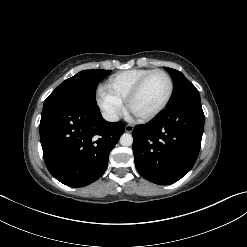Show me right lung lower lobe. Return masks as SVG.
I'll return each instance as SVG.
<instances>
[{
    "label": "right lung lower lobe",
    "instance_id": "98d812e1",
    "mask_svg": "<svg viewBox=\"0 0 247 247\" xmlns=\"http://www.w3.org/2000/svg\"><path fill=\"white\" fill-rule=\"evenodd\" d=\"M124 127L105 121L97 105L68 100L44 104L40 141L49 172L71 187L94 182L106 170Z\"/></svg>",
    "mask_w": 247,
    "mask_h": 247
}]
</instances>
